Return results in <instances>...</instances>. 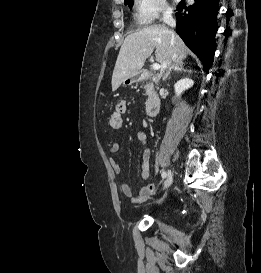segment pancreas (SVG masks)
<instances>
[{"mask_svg": "<svg viewBox=\"0 0 261 273\" xmlns=\"http://www.w3.org/2000/svg\"><path fill=\"white\" fill-rule=\"evenodd\" d=\"M152 89H153V84L149 83L148 85L145 86V92L147 95L152 94Z\"/></svg>", "mask_w": 261, "mask_h": 273, "instance_id": "cf45deb5", "label": "pancreas"}]
</instances>
